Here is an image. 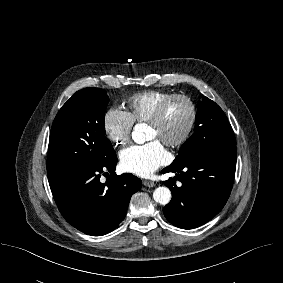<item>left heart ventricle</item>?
<instances>
[{
	"mask_svg": "<svg viewBox=\"0 0 283 283\" xmlns=\"http://www.w3.org/2000/svg\"><path fill=\"white\" fill-rule=\"evenodd\" d=\"M189 119V108L181 100L172 102L167 108L164 118L158 127L148 125L147 140H173L178 138L185 129Z\"/></svg>",
	"mask_w": 283,
	"mask_h": 283,
	"instance_id": "left-heart-ventricle-1",
	"label": "left heart ventricle"
}]
</instances>
